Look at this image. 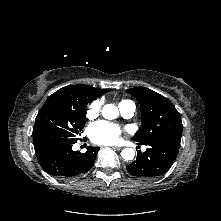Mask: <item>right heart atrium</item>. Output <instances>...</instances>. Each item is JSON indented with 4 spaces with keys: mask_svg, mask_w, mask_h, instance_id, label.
Here are the masks:
<instances>
[{
    "mask_svg": "<svg viewBox=\"0 0 221 221\" xmlns=\"http://www.w3.org/2000/svg\"><path fill=\"white\" fill-rule=\"evenodd\" d=\"M101 107V102L99 100L93 101L87 108L86 115L88 118H94L98 115Z\"/></svg>",
    "mask_w": 221,
    "mask_h": 221,
    "instance_id": "obj_1",
    "label": "right heart atrium"
}]
</instances>
